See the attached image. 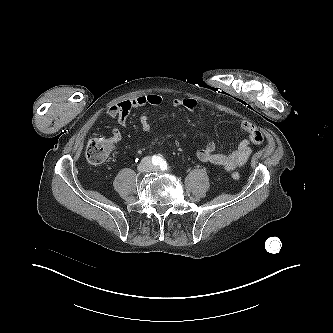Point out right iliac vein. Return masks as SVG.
<instances>
[{
  "label": "right iliac vein",
  "instance_id": "right-iliac-vein-1",
  "mask_svg": "<svg viewBox=\"0 0 333 333\" xmlns=\"http://www.w3.org/2000/svg\"><path fill=\"white\" fill-rule=\"evenodd\" d=\"M149 169H150V162L148 159L143 160L137 167V170L139 172H146Z\"/></svg>",
  "mask_w": 333,
  "mask_h": 333
}]
</instances>
